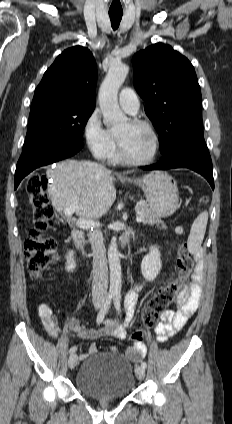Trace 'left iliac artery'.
I'll list each match as a JSON object with an SVG mask.
<instances>
[{"label": "left iliac artery", "mask_w": 232, "mask_h": 424, "mask_svg": "<svg viewBox=\"0 0 232 424\" xmlns=\"http://www.w3.org/2000/svg\"><path fill=\"white\" fill-rule=\"evenodd\" d=\"M120 302H121V295H120V293H115L114 294V306H115V308H116V310H117L118 313L121 312V304H120ZM128 315H131L132 318H133V316H134V308H132V307L127 308V316ZM141 366L145 369L147 367L146 362H142L141 363Z\"/></svg>", "instance_id": "left-iliac-artery-1"}]
</instances>
